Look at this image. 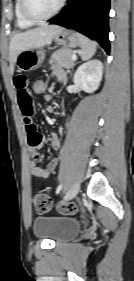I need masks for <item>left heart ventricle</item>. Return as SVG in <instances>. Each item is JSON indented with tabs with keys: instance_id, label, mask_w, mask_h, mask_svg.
<instances>
[{
	"instance_id": "b2bd125f",
	"label": "left heart ventricle",
	"mask_w": 134,
	"mask_h": 281,
	"mask_svg": "<svg viewBox=\"0 0 134 281\" xmlns=\"http://www.w3.org/2000/svg\"><path fill=\"white\" fill-rule=\"evenodd\" d=\"M59 2L60 0H30L32 9L40 15L51 13Z\"/></svg>"
}]
</instances>
